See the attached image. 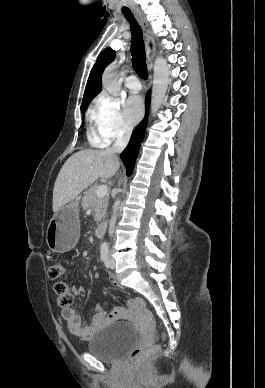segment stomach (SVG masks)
<instances>
[{
  "label": "stomach",
  "mask_w": 265,
  "mask_h": 388,
  "mask_svg": "<svg viewBox=\"0 0 265 388\" xmlns=\"http://www.w3.org/2000/svg\"><path fill=\"white\" fill-rule=\"evenodd\" d=\"M79 231L78 203L65 205L54 214L48 225L47 245L54 252H67L76 245Z\"/></svg>",
  "instance_id": "obj_1"
}]
</instances>
